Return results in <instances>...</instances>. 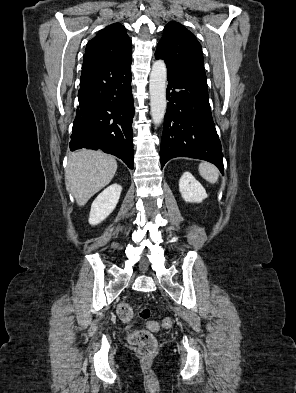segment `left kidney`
Instances as JSON below:
<instances>
[{
	"instance_id": "obj_1",
	"label": "left kidney",
	"mask_w": 296,
	"mask_h": 393,
	"mask_svg": "<svg viewBox=\"0 0 296 393\" xmlns=\"http://www.w3.org/2000/svg\"><path fill=\"white\" fill-rule=\"evenodd\" d=\"M179 191L186 202L200 203L207 198L204 187L189 172H184L181 176Z\"/></svg>"
}]
</instances>
